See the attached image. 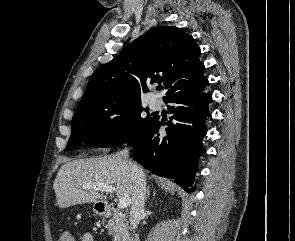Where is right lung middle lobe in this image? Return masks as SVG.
<instances>
[{
  "mask_svg": "<svg viewBox=\"0 0 295 241\" xmlns=\"http://www.w3.org/2000/svg\"><path fill=\"white\" fill-rule=\"evenodd\" d=\"M141 102L118 98L94 103L79 104L72 119V133L67 150L82 142L99 147H110L125 143L143 131L155 118L152 114L141 117Z\"/></svg>",
  "mask_w": 295,
  "mask_h": 241,
  "instance_id": "right-lung-middle-lobe-1",
  "label": "right lung middle lobe"
}]
</instances>
